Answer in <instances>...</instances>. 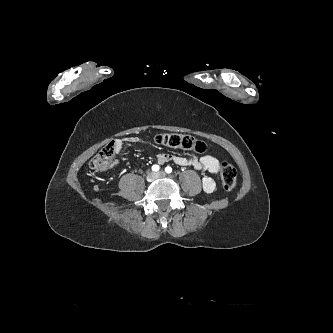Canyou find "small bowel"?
I'll list each match as a JSON object with an SVG mask.
<instances>
[{
  "label": "small bowel",
  "mask_w": 333,
  "mask_h": 333,
  "mask_svg": "<svg viewBox=\"0 0 333 333\" xmlns=\"http://www.w3.org/2000/svg\"><path fill=\"white\" fill-rule=\"evenodd\" d=\"M139 143L137 137H126L123 139L115 140V146L118 154L122 160H127L123 154L124 145H135ZM157 161L159 164H164L166 162H174L177 165L184 167H191L195 170L201 171L204 176L202 179V186L205 192L211 193L216 188V182L210 175H216L220 171V162L218 159L211 155H205L203 157L195 156H181V155H172L166 153H160L157 156Z\"/></svg>",
  "instance_id": "obj_1"
}]
</instances>
